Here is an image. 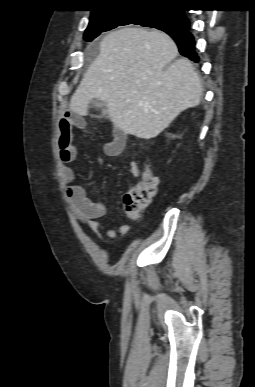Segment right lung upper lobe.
<instances>
[{
    "mask_svg": "<svg viewBox=\"0 0 255 387\" xmlns=\"http://www.w3.org/2000/svg\"><path fill=\"white\" fill-rule=\"evenodd\" d=\"M98 1L97 6L91 10V15L105 12V11H111L115 9H124V8H134V7H145V8H171L178 7V4H180L183 0H96ZM183 17L186 18L184 15L183 10H179ZM190 26V22L188 21V25L186 27ZM167 29V28H165Z\"/></svg>",
    "mask_w": 255,
    "mask_h": 387,
    "instance_id": "right-lung-upper-lobe-1",
    "label": "right lung upper lobe"
}]
</instances>
